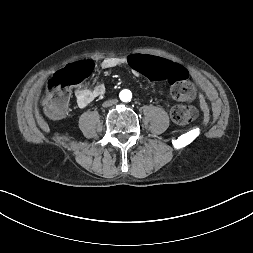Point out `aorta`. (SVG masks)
<instances>
[{
    "instance_id": "762f6f07",
    "label": "aorta",
    "mask_w": 253,
    "mask_h": 253,
    "mask_svg": "<svg viewBox=\"0 0 253 253\" xmlns=\"http://www.w3.org/2000/svg\"><path fill=\"white\" fill-rule=\"evenodd\" d=\"M120 99H121L123 102H128V101L131 99V92L128 91V90H123V91L120 93Z\"/></svg>"
}]
</instances>
